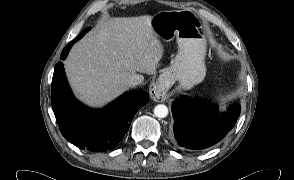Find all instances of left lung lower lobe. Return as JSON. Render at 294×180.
I'll list each match as a JSON object with an SVG mask.
<instances>
[{"label": "left lung lower lobe", "mask_w": 294, "mask_h": 180, "mask_svg": "<svg viewBox=\"0 0 294 180\" xmlns=\"http://www.w3.org/2000/svg\"><path fill=\"white\" fill-rule=\"evenodd\" d=\"M174 136L179 146L202 150L215 145L235 125L240 107L234 106L221 116L211 106L197 99L181 97L172 106Z\"/></svg>", "instance_id": "left-lung-lower-lobe-1"}]
</instances>
